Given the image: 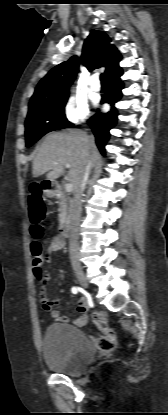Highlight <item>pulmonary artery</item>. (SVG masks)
Listing matches in <instances>:
<instances>
[{"mask_svg": "<svg viewBox=\"0 0 168 415\" xmlns=\"http://www.w3.org/2000/svg\"><path fill=\"white\" fill-rule=\"evenodd\" d=\"M90 87L93 91H100L101 90V84L98 79V76H93L92 81L90 83Z\"/></svg>", "mask_w": 168, "mask_h": 415, "instance_id": "pulmonary-artery-1", "label": "pulmonary artery"}]
</instances>
